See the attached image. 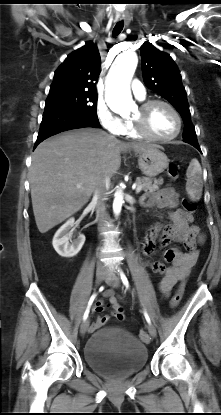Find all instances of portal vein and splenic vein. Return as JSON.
Segmentation results:
<instances>
[{"mask_svg":"<svg viewBox=\"0 0 221 415\" xmlns=\"http://www.w3.org/2000/svg\"><path fill=\"white\" fill-rule=\"evenodd\" d=\"M78 187L80 186L78 185ZM135 189H136V193H139L141 191V186L140 185L135 186Z\"/></svg>","mask_w":221,"mask_h":415,"instance_id":"18ae733b","label":"portal vein and splenic vein"}]
</instances>
